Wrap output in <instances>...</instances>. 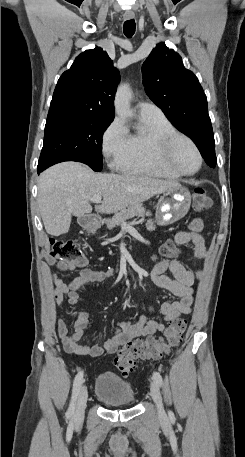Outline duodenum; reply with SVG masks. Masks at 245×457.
Listing matches in <instances>:
<instances>
[{"label":"duodenum","mask_w":245,"mask_h":457,"mask_svg":"<svg viewBox=\"0 0 245 457\" xmlns=\"http://www.w3.org/2000/svg\"><path fill=\"white\" fill-rule=\"evenodd\" d=\"M95 222H96V219H95V217H93V216H86V217H84L83 220H82V223H83L85 226H92V225L95 224Z\"/></svg>","instance_id":"1"}]
</instances>
